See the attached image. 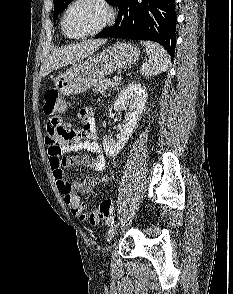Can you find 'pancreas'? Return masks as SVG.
I'll return each mask as SVG.
<instances>
[{
	"label": "pancreas",
	"mask_w": 233,
	"mask_h": 294,
	"mask_svg": "<svg viewBox=\"0 0 233 294\" xmlns=\"http://www.w3.org/2000/svg\"><path fill=\"white\" fill-rule=\"evenodd\" d=\"M116 85L117 83L113 82L109 78L101 79L94 85L93 91H95L96 93L103 94L109 87L113 88Z\"/></svg>",
	"instance_id": "1"
}]
</instances>
